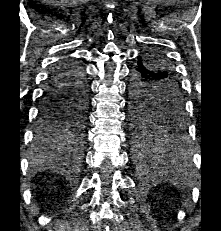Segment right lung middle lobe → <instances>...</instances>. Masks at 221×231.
Here are the masks:
<instances>
[{
  "label": "right lung middle lobe",
  "mask_w": 221,
  "mask_h": 231,
  "mask_svg": "<svg viewBox=\"0 0 221 231\" xmlns=\"http://www.w3.org/2000/svg\"><path fill=\"white\" fill-rule=\"evenodd\" d=\"M87 104V99L77 98L48 105L42 113L41 130L35 141L52 146L62 141L80 142L86 121Z\"/></svg>",
  "instance_id": "dd1d6c3e"
}]
</instances>
